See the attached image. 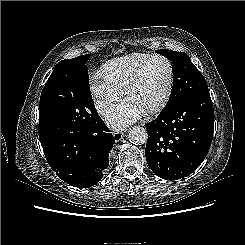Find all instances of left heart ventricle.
Returning a JSON list of instances; mask_svg holds the SVG:
<instances>
[{
    "instance_id": "obj_1",
    "label": "left heart ventricle",
    "mask_w": 245,
    "mask_h": 245,
    "mask_svg": "<svg viewBox=\"0 0 245 245\" xmlns=\"http://www.w3.org/2000/svg\"><path fill=\"white\" fill-rule=\"evenodd\" d=\"M167 81L168 69L166 63L160 59H153L147 65L140 81L129 91L127 97L147 110L161 99Z\"/></svg>"
}]
</instances>
